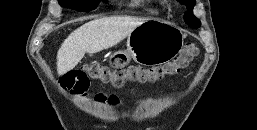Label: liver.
Listing matches in <instances>:
<instances>
[{
  "label": "liver",
  "mask_w": 257,
  "mask_h": 130,
  "mask_svg": "<svg viewBox=\"0 0 257 130\" xmlns=\"http://www.w3.org/2000/svg\"><path fill=\"white\" fill-rule=\"evenodd\" d=\"M147 20L129 16H112L85 23L74 30L61 44L57 52L58 75L72 70L86 52L94 54L115 46Z\"/></svg>",
  "instance_id": "liver-1"
}]
</instances>
